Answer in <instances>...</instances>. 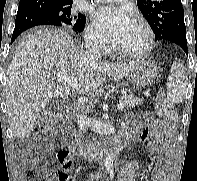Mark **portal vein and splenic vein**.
<instances>
[{
	"instance_id": "portal-vein-and-splenic-vein-1",
	"label": "portal vein and splenic vein",
	"mask_w": 197,
	"mask_h": 181,
	"mask_svg": "<svg viewBox=\"0 0 197 181\" xmlns=\"http://www.w3.org/2000/svg\"><path fill=\"white\" fill-rule=\"evenodd\" d=\"M54 76L59 79L62 80L64 82H66L68 85L72 86L76 91H79V85H78V80L73 77L70 76L64 72L58 71L54 73ZM124 104L123 103H119L117 105L118 110H123L124 109Z\"/></svg>"
}]
</instances>
